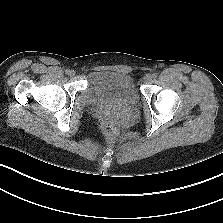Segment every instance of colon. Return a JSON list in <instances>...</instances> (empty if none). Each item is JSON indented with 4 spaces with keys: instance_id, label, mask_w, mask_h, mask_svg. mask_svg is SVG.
I'll list each match as a JSON object with an SVG mask.
<instances>
[{
    "instance_id": "1",
    "label": "colon",
    "mask_w": 223,
    "mask_h": 223,
    "mask_svg": "<svg viewBox=\"0 0 223 223\" xmlns=\"http://www.w3.org/2000/svg\"><path fill=\"white\" fill-rule=\"evenodd\" d=\"M103 129L107 135H113L117 130L116 122L112 118H105L103 121Z\"/></svg>"
}]
</instances>
